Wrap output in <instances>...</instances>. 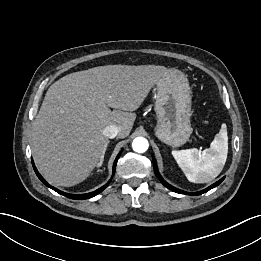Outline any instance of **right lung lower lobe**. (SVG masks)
<instances>
[{
  "mask_svg": "<svg viewBox=\"0 0 261 261\" xmlns=\"http://www.w3.org/2000/svg\"><path fill=\"white\" fill-rule=\"evenodd\" d=\"M121 155V152L119 153V155L116 157L115 161H114V164H113V174L115 172V167H116V164H117V161L119 159ZM32 165H33V168H34V171L36 173V175L38 176V178L48 187H50L51 189H53L54 191H56L57 193L63 195V196H66L68 198H71V199H76V200H83V199H88V198H91V197H94L96 196L97 194H99L100 192H102L107 186L108 184L111 182V180L105 184L104 186H102L101 188L97 189L96 191L94 192H91V193H87V194H79V195H76V194H68V193H65V192H62L54 187H52L51 185H49L45 179L40 175V173L37 171L35 165H34V162L32 160Z\"/></svg>",
  "mask_w": 261,
  "mask_h": 261,
  "instance_id": "1",
  "label": "right lung lower lobe"
}]
</instances>
